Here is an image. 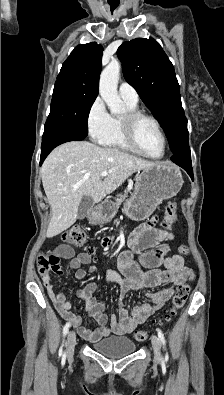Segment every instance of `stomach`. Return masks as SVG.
<instances>
[{
    "instance_id": "stomach-1",
    "label": "stomach",
    "mask_w": 224,
    "mask_h": 395,
    "mask_svg": "<svg viewBox=\"0 0 224 395\" xmlns=\"http://www.w3.org/2000/svg\"><path fill=\"white\" fill-rule=\"evenodd\" d=\"M183 184L179 168L168 162H161L143 169L136 177L134 192L124 204L123 212L132 220L147 219L163 200L177 195ZM115 215L111 202L97 206L90 216L93 224L109 222Z\"/></svg>"
}]
</instances>
